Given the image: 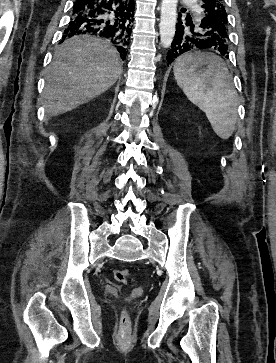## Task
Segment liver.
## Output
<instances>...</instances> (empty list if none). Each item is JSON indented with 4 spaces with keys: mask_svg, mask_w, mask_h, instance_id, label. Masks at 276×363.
Returning a JSON list of instances; mask_svg holds the SVG:
<instances>
[{
    "mask_svg": "<svg viewBox=\"0 0 276 363\" xmlns=\"http://www.w3.org/2000/svg\"><path fill=\"white\" fill-rule=\"evenodd\" d=\"M122 73L116 49L108 41L76 36L54 52L43 90L48 117L71 111L107 91Z\"/></svg>",
    "mask_w": 276,
    "mask_h": 363,
    "instance_id": "6515ba94",
    "label": "liver"
}]
</instances>
